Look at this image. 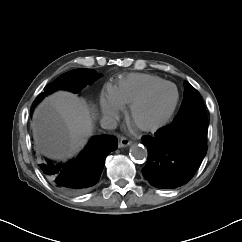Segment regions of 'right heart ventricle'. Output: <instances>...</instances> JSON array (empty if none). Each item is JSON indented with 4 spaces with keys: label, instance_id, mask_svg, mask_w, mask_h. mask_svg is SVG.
<instances>
[{
    "label": "right heart ventricle",
    "instance_id": "e07e8e85",
    "mask_svg": "<svg viewBox=\"0 0 242 242\" xmlns=\"http://www.w3.org/2000/svg\"><path fill=\"white\" fill-rule=\"evenodd\" d=\"M162 82L165 80L157 75L132 73L120 77L111 92L122 106H128L149 88Z\"/></svg>",
    "mask_w": 242,
    "mask_h": 242
}]
</instances>
